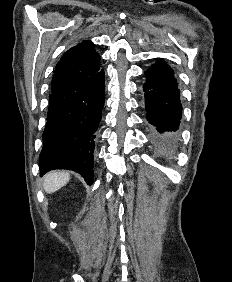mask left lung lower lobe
I'll return each instance as SVG.
<instances>
[{
	"instance_id": "left-lung-lower-lobe-1",
	"label": "left lung lower lobe",
	"mask_w": 232,
	"mask_h": 282,
	"mask_svg": "<svg viewBox=\"0 0 232 282\" xmlns=\"http://www.w3.org/2000/svg\"><path fill=\"white\" fill-rule=\"evenodd\" d=\"M146 118L152 126V141L157 147L176 143L182 105L178 83L171 67L159 59L145 71Z\"/></svg>"
}]
</instances>
